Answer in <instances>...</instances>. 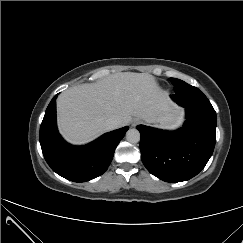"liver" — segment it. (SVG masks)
Here are the masks:
<instances>
[{
  "instance_id": "obj_1",
  "label": "liver",
  "mask_w": 243,
  "mask_h": 243,
  "mask_svg": "<svg viewBox=\"0 0 243 243\" xmlns=\"http://www.w3.org/2000/svg\"><path fill=\"white\" fill-rule=\"evenodd\" d=\"M171 110L179 109L148 73H115L69 88L57 99L59 130L73 144L109 131L106 120L111 117L118 118L123 127L133 117L155 123L159 115Z\"/></svg>"
}]
</instances>
